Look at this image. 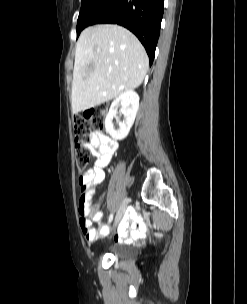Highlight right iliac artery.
<instances>
[{
  "label": "right iliac artery",
  "mask_w": 247,
  "mask_h": 304,
  "mask_svg": "<svg viewBox=\"0 0 247 304\" xmlns=\"http://www.w3.org/2000/svg\"><path fill=\"white\" fill-rule=\"evenodd\" d=\"M113 220V214H110L109 219H108V223H111Z\"/></svg>",
  "instance_id": "1"
}]
</instances>
